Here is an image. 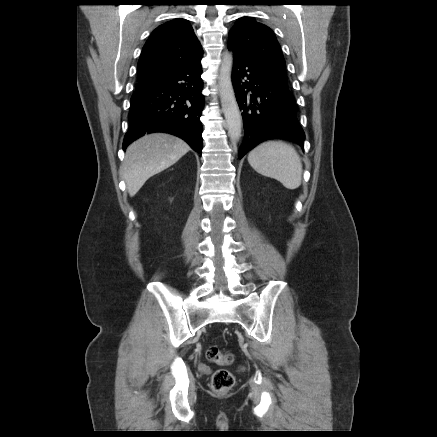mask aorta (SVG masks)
<instances>
[{"label": "aorta", "mask_w": 437, "mask_h": 437, "mask_svg": "<svg viewBox=\"0 0 437 437\" xmlns=\"http://www.w3.org/2000/svg\"><path fill=\"white\" fill-rule=\"evenodd\" d=\"M232 67L233 55L231 52H226L219 70V95L229 136L232 141H238L241 137L242 118L232 85Z\"/></svg>", "instance_id": "obj_1"}]
</instances>
